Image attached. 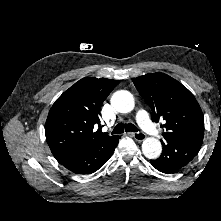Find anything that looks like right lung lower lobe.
I'll use <instances>...</instances> for the list:
<instances>
[{"mask_svg": "<svg viewBox=\"0 0 221 221\" xmlns=\"http://www.w3.org/2000/svg\"><path fill=\"white\" fill-rule=\"evenodd\" d=\"M119 136L95 148L78 150L57 158L68 170L78 174H91L98 170L112 156L119 142Z\"/></svg>", "mask_w": 221, "mask_h": 221, "instance_id": "98d812e1", "label": "right lung lower lobe"}]
</instances>
